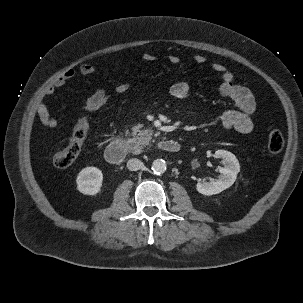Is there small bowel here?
<instances>
[{
    "label": "small bowel",
    "mask_w": 303,
    "mask_h": 303,
    "mask_svg": "<svg viewBox=\"0 0 303 303\" xmlns=\"http://www.w3.org/2000/svg\"><path fill=\"white\" fill-rule=\"evenodd\" d=\"M138 60L141 62H153L156 60V56L150 53H145L142 54ZM193 60L198 65H203L207 62V58L202 54L195 55ZM169 62L174 66L181 65V59L177 55L169 56ZM123 63V60L117 61L113 67L114 71H118ZM210 69L221 75V84L219 87L220 94L236 106V109H228L221 113L220 121L223 127L241 134L250 133L253 130L252 115L256 108L252 92L247 87L237 84L235 82L234 75L229 72L222 63L214 62L210 64ZM79 71L82 75H92L98 72V67L90 63H84L80 66ZM75 74L76 73L73 69L65 71L46 88L45 95H53L58 88L64 86L75 76ZM129 88L130 84L123 82L115 85L113 90L117 94H123L127 92ZM170 93L174 98L184 100L191 97L192 89L187 82L181 81L171 86ZM105 94H108L106 89L98 88L85 100V104L90 99L97 98ZM37 115L44 126L48 128H54L57 126L56 118L50 114L45 104L40 103L38 105Z\"/></svg>",
    "instance_id": "1"
}]
</instances>
